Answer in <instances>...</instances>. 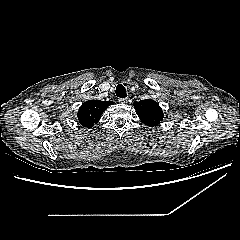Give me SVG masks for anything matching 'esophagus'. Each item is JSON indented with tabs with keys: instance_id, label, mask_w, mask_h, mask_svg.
Returning a JSON list of instances; mask_svg holds the SVG:
<instances>
[{
	"instance_id": "obj_1",
	"label": "esophagus",
	"mask_w": 240,
	"mask_h": 240,
	"mask_svg": "<svg viewBox=\"0 0 240 240\" xmlns=\"http://www.w3.org/2000/svg\"><path fill=\"white\" fill-rule=\"evenodd\" d=\"M118 101L121 104H125V103H127L128 100H127V98H119Z\"/></svg>"
}]
</instances>
